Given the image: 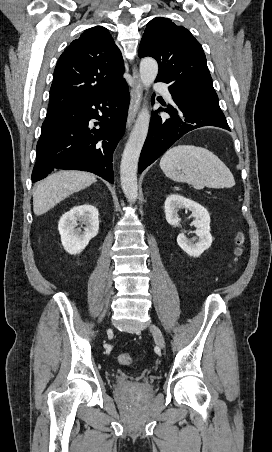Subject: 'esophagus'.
Instances as JSON below:
<instances>
[{
    "label": "esophagus",
    "instance_id": "obj_1",
    "mask_svg": "<svg viewBox=\"0 0 272 452\" xmlns=\"http://www.w3.org/2000/svg\"><path fill=\"white\" fill-rule=\"evenodd\" d=\"M133 79H134V85L131 89V100L129 105V111H128V118H127V128H131L135 117L138 113V110L140 108L142 94H143V87L141 84V81L139 79V75L137 72L136 67L134 66L133 69Z\"/></svg>",
    "mask_w": 272,
    "mask_h": 452
}]
</instances>
